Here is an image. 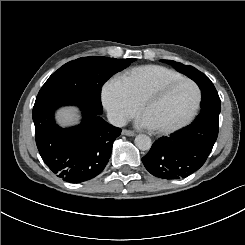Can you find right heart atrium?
<instances>
[{
	"label": "right heart atrium",
	"instance_id": "d8ad5b80",
	"mask_svg": "<svg viewBox=\"0 0 245 245\" xmlns=\"http://www.w3.org/2000/svg\"><path fill=\"white\" fill-rule=\"evenodd\" d=\"M102 99L111 119L117 124L127 122L137 112V103L123 87L113 82L104 86Z\"/></svg>",
	"mask_w": 245,
	"mask_h": 245
}]
</instances>
